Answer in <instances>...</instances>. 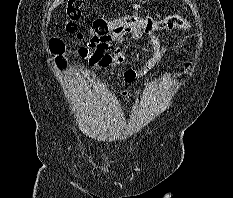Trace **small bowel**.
I'll return each instance as SVG.
<instances>
[{
  "instance_id": "c3829d8e",
  "label": "small bowel",
  "mask_w": 233,
  "mask_h": 198,
  "mask_svg": "<svg viewBox=\"0 0 233 198\" xmlns=\"http://www.w3.org/2000/svg\"><path fill=\"white\" fill-rule=\"evenodd\" d=\"M144 35L150 39L153 54L141 69L136 70L131 66L130 61L118 45L127 41L138 40ZM90 48H92V51H90ZM165 52L166 50L159 38L153 33L144 34L140 28L125 29L116 25L113 26V32L110 36L98 41L93 46L79 50L80 55L87 58L92 67L119 70L122 73L125 89L118 94L119 98L129 96L132 83L158 65Z\"/></svg>"
}]
</instances>
